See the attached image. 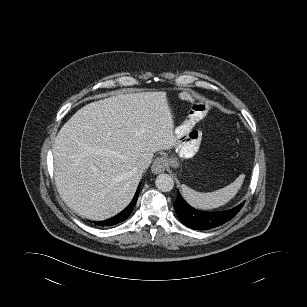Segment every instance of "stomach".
I'll return each instance as SVG.
<instances>
[{
    "label": "stomach",
    "instance_id": "0dacf381",
    "mask_svg": "<svg viewBox=\"0 0 307 307\" xmlns=\"http://www.w3.org/2000/svg\"><path fill=\"white\" fill-rule=\"evenodd\" d=\"M201 135L199 132L189 134L186 138H177L176 149L178 155L182 158L192 157L199 149ZM168 163L171 167H179V161L176 157L168 159Z\"/></svg>",
    "mask_w": 307,
    "mask_h": 307
}]
</instances>
